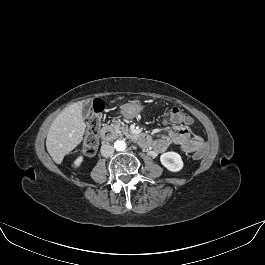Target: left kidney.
<instances>
[{
	"label": "left kidney",
	"mask_w": 265,
	"mask_h": 265,
	"mask_svg": "<svg viewBox=\"0 0 265 265\" xmlns=\"http://www.w3.org/2000/svg\"><path fill=\"white\" fill-rule=\"evenodd\" d=\"M162 165L171 172H178L183 168L181 156L176 152H166L160 156Z\"/></svg>",
	"instance_id": "5707ae66"
}]
</instances>
